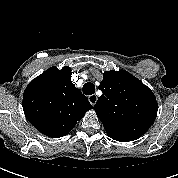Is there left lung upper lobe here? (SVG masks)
Masks as SVG:
<instances>
[{
  "label": "left lung upper lobe",
  "instance_id": "left-lung-upper-lobe-1",
  "mask_svg": "<svg viewBox=\"0 0 178 178\" xmlns=\"http://www.w3.org/2000/svg\"><path fill=\"white\" fill-rule=\"evenodd\" d=\"M94 106L105 131L114 140L133 141L153 124L158 104L153 92L127 71H107Z\"/></svg>",
  "mask_w": 178,
  "mask_h": 178
}]
</instances>
